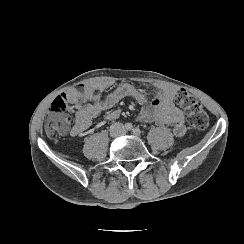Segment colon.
Here are the masks:
<instances>
[{
	"instance_id": "obj_1",
	"label": "colon",
	"mask_w": 244,
	"mask_h": 244,
	"mask_svg": "<svg viewBox=\"0 0 244 244\" xmlns=\"http://www.w3.org/2000/svg\"><path fill=\"white\" fill-rule=\"evenodd\" d=\"M69 94H81L83 97L98 94L99 89L96 86L91 87L90 91L82 85L71 86L68 89ZM176 102L188 113L190 125L196 129L203 130L209 125V117L198 101V99L189 92L181 91L176 96ZM74 109L65 95L56 96L50 104L49 115L45 122V129L49 135L57 136L69 131L73 119Z\"/></svg>"
}]
</instances>
